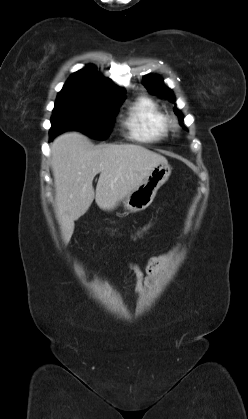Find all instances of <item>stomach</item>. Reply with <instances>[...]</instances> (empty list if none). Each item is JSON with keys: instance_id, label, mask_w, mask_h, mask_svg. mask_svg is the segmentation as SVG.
<instances>
[{"instance_id": "obj_1", "label": "stomach", "mask_w": 248, "mask_h": 419, "mask_svg": "<svg viewBox=\"0 0 248 419\" xmlns=\"http://www.w3.org/2000/svg\"><path fill=\"white\" fill-rule=\"evenodd\" d=\"M171 168L168 163H160L154 167L141 185L128 193L121 201L130 212L146 209L154 200L158 189L168 180Z\"/></svg>"}]
</instances>
